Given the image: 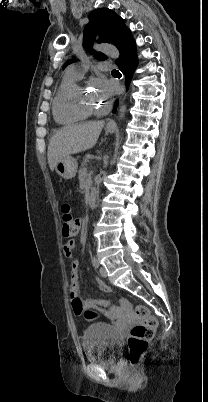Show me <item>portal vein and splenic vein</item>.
<instances>
[{"instance_id":"1","label":"portal vein and splenic vein","mask_w":208,"mask_h":402,"mask_svg":"<svg viewBox=\"0 0 208 402\" xmlns=\"http://www.w3.org/2000/svg\"><path fill=\"white\" fill-rule=\"evenodd\" d=\"M82 164H83V166H84V167L89 166V163H88V161H87V160H83V161H82Z\"/></svg>"}]
</instances>
